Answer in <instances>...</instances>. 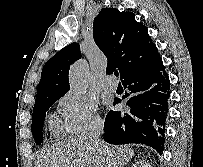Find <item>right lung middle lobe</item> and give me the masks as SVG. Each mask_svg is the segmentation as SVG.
<instances>
[{"instance_id":"obj_1","label":"right lung middle lobe","mask_w":203,"mask_h":167,"mask_svg":"<svg viewBox=\"0 0 203 167\" xmlns=\"http://www.w3.org/2000/svg\"><path fill=\"white\" fill-rule=\"evenodd\" d=\"M59 98L60 97L49 98L36 104L33 108L32 134L35 142L38 145L43 142L42 129L46 112Z\"/></svg>"}]
</instances>
